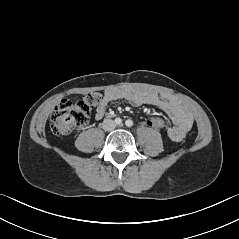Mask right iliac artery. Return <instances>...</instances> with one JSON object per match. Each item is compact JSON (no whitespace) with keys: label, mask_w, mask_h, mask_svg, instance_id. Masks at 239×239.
<instances>
[{"label":"right iliac artery","mask_w":239,"mask_h":239,"mask_svg":"<svg viewBox=\"0 0 239 239\" xmlns=\"http://www.w3.org/2000/svg\"><path fill=\"white\" fill-rule=\"evenodd\" d=\"M115 123L120 125L122 123V119L121 118H116Z\"/></svg>","instance_id":"1"}]
</instances>
